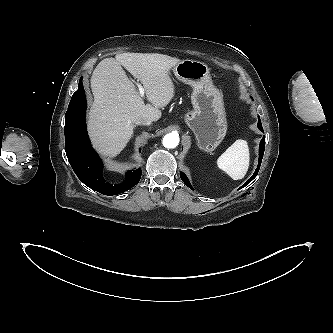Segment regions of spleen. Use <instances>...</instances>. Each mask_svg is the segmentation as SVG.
<instances>
[{"label":"spleen","mask_w":333,"mask_h":333,"mask_svg":"<svg viewBox=\"0 0 333 333\" xmlns=\"http://www.w3.org/2000/svg\"><path fill=\"white\" fill-rule=\"evenodd\" d=\"M217 166L233 180L244 178L249 167V148L245 140H236L217 159Z\"/></svg>","instance_id":"obj_1"}]
</instances>
